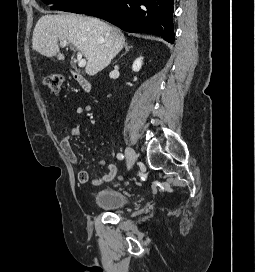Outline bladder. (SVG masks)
I'll return each instance as SVG.
<instances>
[{
	"instance_id": "bladder-1",
	"label": "bladder",
	"mask_w": 255,
	"mask_h": 272,
	"mask_svg": "<svg viewBox=\"0 0 255 272\" xmlns=\"http://www.w3.org/2000/svg\"><path fill=\"white\" fill-rule=\"evenodd\" d=\"M131 202V197L120 190L105 189L99 191L94 198V203L97 207L114 211L119 210Z\"/></svg>"
}]
</instances>
